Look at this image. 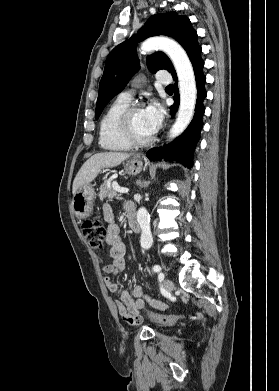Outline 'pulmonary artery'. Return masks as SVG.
<instances>
[{"label": "pulmonary artery", "instance_id": "e3ab8cb5", "mask_svg": "<svg viewBox=\"0 0 279 391\" xmlns=\"http://www.w3.org/2000/svg\"><path fill=\"white\" fill-rule=\"evenodd\" d=\"M172 81L171 75L169 73H159L157 75V82L162 84H168ZM121 97L131 100L132 93L131 92H123L120 94Z\"/></svg>", "mask_w": 279, "mask_h": 391}]
</instances>
